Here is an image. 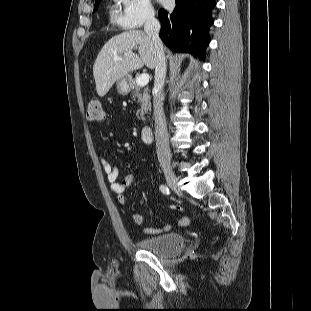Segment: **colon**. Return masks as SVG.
<instances>
[{
    "instance_id": "obj_1",
    "label": "colon",
    "mask_w": 311,
    "mask_h": 311,
    "mask_svg": "<svg viewBox=\"0 0 311 311\" xmlns=\"http://www.w3.org/2000/svg\"><path fill=\"white\" fill-rule=\"evenodd\" d=\"M87 118L90 121H102L104 112L102 103L99 99H91L87 106Z\"/></svg>"
}]
</instances>
